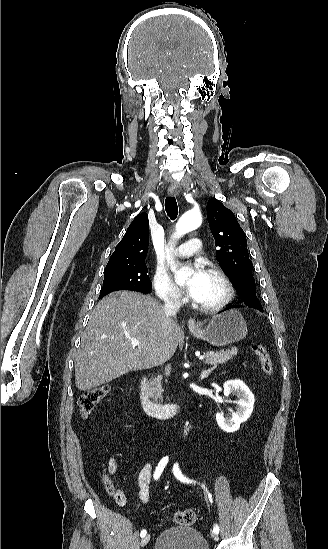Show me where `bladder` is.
Masks as SVG:
<instances>
[{
    "mask_svg": "<svg viewBox=\"0 0 328 549\" xmlns=\"http://www.w3.org/2000/svg\"><path fill=\"white\" fill-rule=\"evenodd\" d=\"M155 549H208V546L196 528L176 527L161 533Z\"/></svg>",
    "mask_w": 328,
    "mask_h": 549,
    "instance_id": "31cf9c89",
    "label": "bladder"
}]
</instances>
